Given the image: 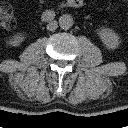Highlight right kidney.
Masks as SVG:
<instances>
[{
  "mask_svg": "<svg viewBox=\"0 0 128 128\" xmlns=\"http://www.w3.org/2000/svg\"><path fill=\"white\" fill-rule=\"evenodd\" d=\"M23 41H24V36H23V35H15V36L8 42V44H9L10 46L16 47V46H19Z\"/></svg>",
  "mask_w": 128,
  "mask_h": 128,
  "instance_id": "1",
  "label": "right kidney"
}]
</instances>
